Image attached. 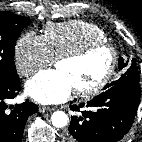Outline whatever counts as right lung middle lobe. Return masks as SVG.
<instances>
[{
	"label": "right lung middle lobe",
	"mask_w": 142,
	"mask_h": 142,
	"mask_svg": "<svg viewBox=\"0 0 142 142\" xmlns=\"http://www.w3.org/2000/svg\"><path fill=\"white\" fill-rule=\"evenodd\" d=\"M30 20L11 12H0V84L19 78L14 62L16 40Z\"/></svg>",
	"instance_id": "1"
}]
</instances>
